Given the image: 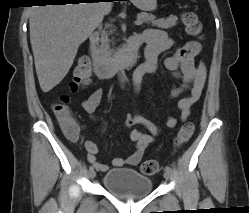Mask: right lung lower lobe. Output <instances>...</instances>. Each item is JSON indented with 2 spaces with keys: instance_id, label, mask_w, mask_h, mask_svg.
Segmentation results:
<instances>
[{
  "instance_id": "right-lung-lower-lobe-1",
  "label": "right lung lower lobe",
  "mask_w": 249,
  "mask_h": 213,
  "mask_svg": "<svg viewBox=\"0 0 249 213\" xmlns=\"http://www.w3.org/2000/svg\"><path fill=\"white\" fill-rule=\"evenodd\" d=\"M43 1L44 2L42 3L47 2V3H55L59 5V4H66V3H78L79 4V2L82 0H43ZM106 1H113V0H106Z\"/></svg>"
}]
</instances>
